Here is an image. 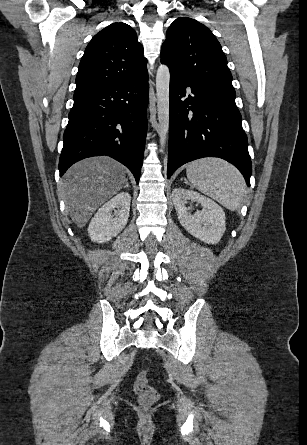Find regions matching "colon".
Here are the masks:
<instances>
[{"label": "colon", "mask_w": 307, "mask_h": 445, "mask_svg": "<svg viewBox=\"0 0 307 445\" xmlns=\"http://www.w3.org/2000/svg\"><path fill=\"white\" fill-rule=\"evenodd\" d=\"M134 391L139 402L143 406H151L159 398L158 391L149 384L148 372L141 371L137 374L134 382Z\"/></svg>", "instance_id": "obj_1"}]
</instances>
